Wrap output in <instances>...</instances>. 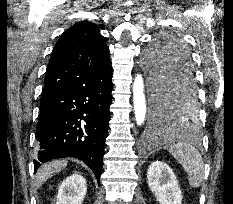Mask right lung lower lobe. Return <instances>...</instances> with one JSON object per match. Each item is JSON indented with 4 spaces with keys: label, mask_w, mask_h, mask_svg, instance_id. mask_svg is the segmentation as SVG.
<instances>
[{
    "label": "right lung lower lobe",
    "mask_w": 233,
    "mask_h": 204,
    "mask_svg": "<svg viewBox=\"0 0 233 204\" xmlns=\"http://www.w3.org/2000/svg\"><path fill=\"white\" fill-rule=\"evenodd\" d=\"M111 92L110 64L42 96L41 115H50L52 119L42 132L36 134L39 152L38 160H34L35 171L40 162L74 157L83 160L93 170L99 183Z\"/></svg>",
    "instance_id": "98d812e1"
}]
</instances>
